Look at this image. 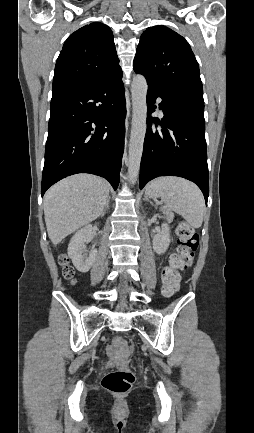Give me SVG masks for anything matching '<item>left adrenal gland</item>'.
Wrapping results in <instances>:
<instances>
[{
  "label": "left adrenal gland",
  "instance_id": "1",
  "mask_svg": "<svg viewBox=\"0 0 254 433\" xmlns=\"http://www.w3.org/2000/svg\"><path fill=\"white\" fill-rule=\"evenodd\" d=\"M144 201H149V199L147 198V195L145 194L144 195V199H143ZM150 203H152L151 201H149Z\"/></svg>",
  "mask_w": 254,
  "mask_h": 433
}]
</instances>
